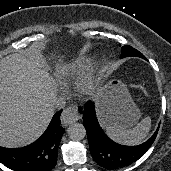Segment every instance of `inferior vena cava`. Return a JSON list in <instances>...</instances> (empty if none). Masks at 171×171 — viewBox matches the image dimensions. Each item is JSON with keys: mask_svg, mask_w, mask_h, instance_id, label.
I'll return each mask as SVG.
<instances>
[{"mask_svg": "<svg viewBox=\"0 0 171 171\" xmlns=\"http://www.w3.org/2000/svg\"><path fill=\"white\" fill-rule=\"evenodd\" d=\"M65 105H66V102H65L64 98L60 97L55 101L54 108L61 109V108H64Z\"/></svg>", "mask_w": 171, "mask_h": 171, "instance_id": "obj_1", "label": "inferior vena cava"}]
</instances>
